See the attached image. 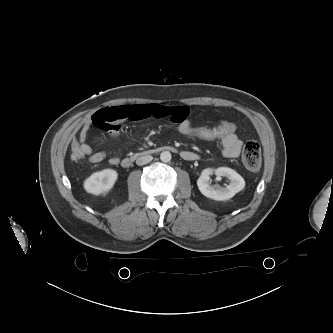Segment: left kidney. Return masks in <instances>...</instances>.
Here are the masks:
<instances>
[{"instance_id": "5707ae66", "label": "left kidney", "mask_w": 333, "mask_h": 333, "mask_svg": "<svg viewBox=\"0 0 333 333\" xmlns=\"http://www.w3.org/2000/svg\"><path fill=\"white\" fill-rule=\"evenodd\" d=\"M215 172L218 176L227 177L230 180V184L226 187L212 186L209 183V175ZM197 185L200 192L211 199L217 201H224L234 197L238 192L245 187L244 179L233 169L227 167H219L217 169L207 168L202 171L201 176L197 180Z\"/></svg>"}]
</instances>
